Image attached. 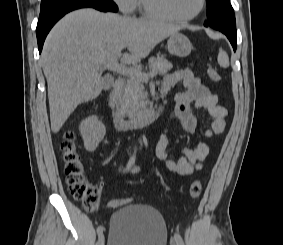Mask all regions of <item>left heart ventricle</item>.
<instances>
[{
	"label": "left heart ventricle",
	"instance_id": "left-heart-ventricle-1",
	"mask_svg": "<svg viewBox=\"0 0 283 245\" xmlns=\"http://www.w3.org/2000/svg\"><path fill=\"white\" fill-rule=\"evenodd\" d=\"M154 5L173 17L190 16L197 11L200 0H153Z\"/></svg>",
	"mask_w": 283,
	"mask_h": 245
}]
</instances>
